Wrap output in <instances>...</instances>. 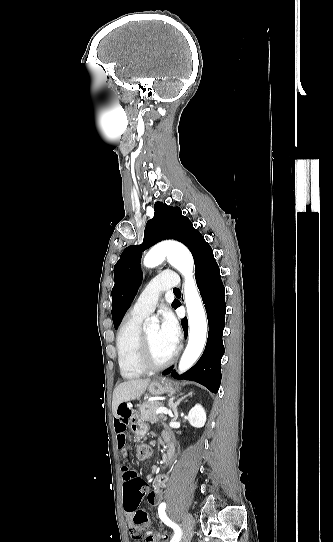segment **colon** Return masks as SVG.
<instances>
[{"label": "colon", "mask_w": 333, "mask_h": 542, "mask_svg": "<svg viewBox=\"0 0 333 542\" xmlns=\"http://www.w3.org/2000/svg\"><path fill=\"white\" fill-rule=\"evenodd\" d=\"M152 448L149 443H142L138 450L139 459H148L151 457ZM123 475L126 480H131L130 483H123L122 492L124 498L123 507L125 512L129 514L134 511V524L138 526L149 525L151 523V518L147 516V511L139 509V504L143 500L145 491H144V481L143 479H132L133 476L136 478L138 475L131 472L130 467H125L123 469ZM148 535L151 539L158 540L160 539V534L155 532V530H150Z\"/></svg>", "instance_id": "5ec220e1"}]
</instances>
